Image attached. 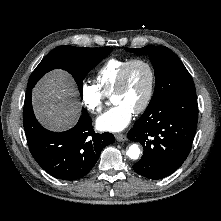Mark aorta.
<instances>
[{
  "label": "aorta",
  "mask_w": 221,
  "mask_h": 221,
  "mask_svg": "<svg viewBox=\"0 0 221 221\" xmlns=\"http://www.w3.org/2000/svg\"><path fill=\"white\" fill-rule=\"evenodd\" d=\"M140 148L137 144H132L128 149H127V156L130 158V159H133V160H136L139 158L140 156Z\"/></svg>",
  "instance_id": "obj_1"
}]
</instances>
